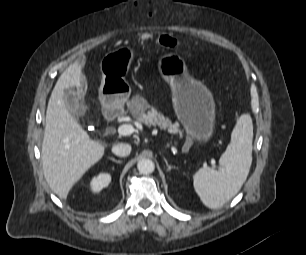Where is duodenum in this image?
<instances>
[{
	"mask_svg": "<svg viewBox=\"0 0 306 255\" xmlns=\"http://www.w3.org/2000/svg\"><path fill=\"white\" fill-rule=\"evenodd\" d=\"M109 118H110V119H113V118H114V113H113V112H110V113H109Z\"/></svg>",
	"mask_w": 306,
	"mask_h": 255,
	"instance_id": "410a0bca",
	"label": "duodenum"
}]
</instances>
